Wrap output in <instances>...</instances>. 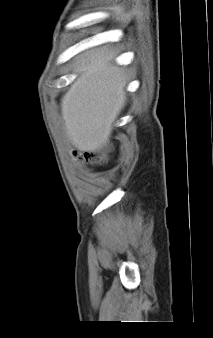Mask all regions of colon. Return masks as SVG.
Wrapping results in <instances>:
<instances>
[{
    "mask_svg": "<svg viewBox=\"0 0 213 338\" xmlns=\"http://www.w3.org/2000/svg\"><path fill=\"white\" fill-rule=\"evenodd\" d=\"M80 158L83 162L92 165H100L104 162V155L98 152H85Z\"/></svg>",
    "mask_w": 213,
    "mask_h": 338,
    "instance_id": "obj_1",
    "label": "colon"
}]
</instances>
